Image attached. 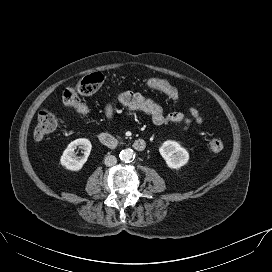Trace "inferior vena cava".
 I'll use <instances>...</instances> for the list:
<instances>
[{
  "mask_svg": "<svg viewBox=\"0 0 272 272\" xmlns=\"http://www.w3.org/2000/svg\"><path fill=\"white\" fill-rule=\"evenodd\" d=\"M106 166H113L117 163V158L114 155H108L104 159Z\"/></svg>",
  "mask_w": 272,
  "mask_h": 272,
  "instance_id": "obj_1",
  "label": "inferior vena cava"
}]
</instances>
